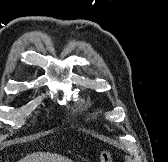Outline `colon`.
I'll return each mask as SVG.
<instances>
[{"label": "colon", "instance_id": "colon-1", "mask_svg": "<svg viewBox=\"0 0 168 162\" xmlns=\"http://www.w3.org/2000/svg\"><path fill=\"white\" fill-rule=\"evenodd\" d=\"M100 162H113V156L111 152L105 151L100 155Z\"/></svg>", "mask_w": 168, "mask_h": 162}]
</instances>
